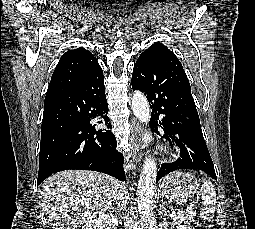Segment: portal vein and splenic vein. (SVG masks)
<instances>
[{"label":"portal vein and splenic vein","instance_id":"portal-vein-and-splenic-vein-1","mask_svg":"<svg viewBox=\"0 0 255 229\" xmlns=\"http://www.w3.org/2000/svg\"><path fill=\"white\" fill-rule=\"evenodd\" d=\"M193 204L191 203L190 205L187 206V210H190L192 208ZM172 215H176V212L172 210Z\"/></svg>","mask_w":255,"mask_h":229}]
</instances>
